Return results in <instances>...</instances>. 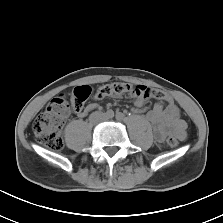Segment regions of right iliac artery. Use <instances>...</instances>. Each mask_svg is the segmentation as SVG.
<instances>
[{"label": "right iliac artery", "mask_w": 223, "mask_h": 223, "mask_svg": "<svg viewBox=\"0 0 223 223\" xmlns=\"http://www.w3.org/2000/svg\"><path fill=\"white\" fill-rule=\"evenodd\" d=\"M106 115H107L108 117L112 118V117L114 116V112H113L112 110H108V111L106 112Z\"/></svg>", "instance_id": "82829eb1"}]
</instances>
